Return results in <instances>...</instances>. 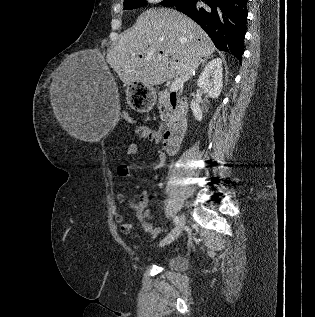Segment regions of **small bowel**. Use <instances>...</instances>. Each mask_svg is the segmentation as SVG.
Listing matches in <instances>:
<instances>
[{
	"instance_id": "small-bowel-1",
	"label": "small bowel",
	"mask_w": 315,
	"mask_h": 317,
	"mask_svg": "<svg viewBox=\"0 0 315 317\" xmlns=\"http://www.w3.org/2000/svg\"><path fill=\"white\" fill-rule=\"evenodd\" d=\"M134 132L140 136L141 138L149 141L154 142L156 144L160 141V134L153 130L152 128L145 126V125H136L134 127ZM139 147L135 143H131L126 147L125 153L127 156H134L138 153ZM166 160V154L159 150V161L155 165V169H161L164 166ZM117 175L121 178H128L131 176L130 168L127 165H118L116 168ZM116 199L118 202H123L125 199V196L123 193H118L116 195ZM148 203V196L147 193L143 192L139 196V204L136 209V217L139 219V221L142 224V227L145 232L150 233L152 235H158L161 233L162 229L159 227H154L149 223H146L143 219V212L145 207ZM115 222L120 225V230L123 234L131 235L133 234V225L131 223H125L123 215L120 213H115L114 215Z\"/></svg>"
}]
</instances>
